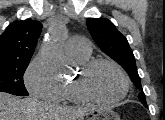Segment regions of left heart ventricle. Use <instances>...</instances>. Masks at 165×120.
<instances>
[{
  "label": "left heart ventricle",
  "mask_w": 165,
  "mask_h": 120,
  "mask_svg": "<svg viewBox=\"0 0 165 120\" xmlns=\"http://www.w3.org/2000/svg\"><path fill=\"white\" fill-rule=\"evenodd\" d=\"M87 85L94 96L102 99L115 98L124 88L121 75L109 65L96 67L89 75Z\"/></svg>",
  "instance_id": "obj_1"
}]
</instances>
